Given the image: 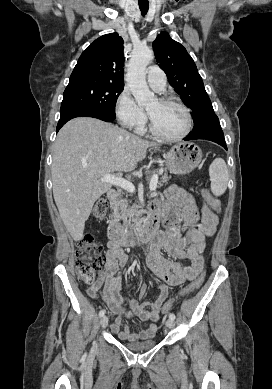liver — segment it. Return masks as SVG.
Returning a JSON list of instances; mask_svg holds the SVG:
<instances>
[{
  "instance_id": "liver-1",
  "label": "liver",
  "mask_w": 272,
  "mask_h": 389,
  "mask_svg": "<svg viewBox=\"0 0 272 389\" xmlns=\"http://www.w3.org/2000/svg\"><path fill=\"white\" fill-rule=\"evenodd\" d=\"M154 146V142L90 117L72 119L60 129L52 154L53 196L75 241L84 237L94 203L112 186L100 179L133 170Z\"/></svg>"
}]
</instances>
